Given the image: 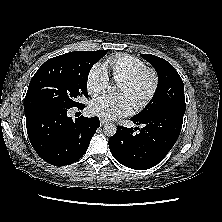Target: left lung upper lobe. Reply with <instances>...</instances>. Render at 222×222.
I'll use <instances>...</instances> for the list:
<instances>
[{
    "mask_svg": "<svg viewBox=\"0 0 222 222\" xmlns=\"http://www.w3.org/2000/svg\"><path fill=\"white\" fill-rule=\"evenodd\" d=\"M140 56L155 68L158 74V85L153 99L135 117H143L169 107L186 109L184 84L175 68L160 57L149 54H140Z\"/></svg>",
    "mask_w": 222,
    "mask_h": 222,
    "instance_id": "5c2ea615",
    "label": "left lung upper lobe"
}]
</instances>
